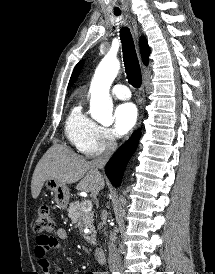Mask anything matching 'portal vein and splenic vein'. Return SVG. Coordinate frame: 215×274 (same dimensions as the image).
Segmentation results:
<instances>
[{
  "label": "portal vein and splenic vein",
  "instance_id": "obj_1",
  "mask_svg": "<svg viewBox=\"0 0 215 274\" xmlns=\"http://www.w3.org/2000/svg\"><path fill=\"white\" fill-rule=\"evenodd\" d=\"M82 210L84 212H90L92 210V202L90 200H85L83 202V208Z\"/></svg>",
  "mask_w": 215,
  "mask_h": 274
}]
</instances>
